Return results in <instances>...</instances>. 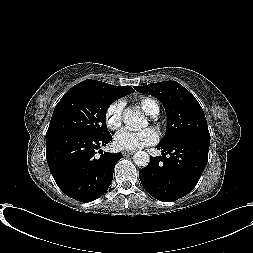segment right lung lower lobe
<instances>
[{
	"instance_id": "1",
	"label": "right lung lower lobe",
	"mask_w": 253,
	"mask_h": 253,
	"mask_svg": "<svg viewBox=\"0 0 253 253\" xmlns=\"http://www.w3.org/2000/svg\"><path fill=\"white\" fill-rule=\"evenodd\" d=\"M112 140L111 134L93 137L83 134H63L46 139L49 169L59 188L81 202L102 196L109 188L114 167L122 154L96 150Z\"/></svg>"
}]
</instances>
